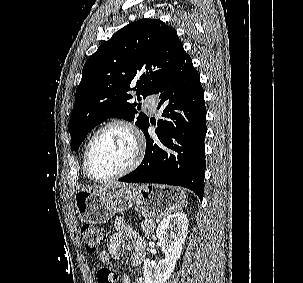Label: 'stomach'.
I'll return each instance as SVG.
<instances>
[{
    "instance_id": "0dacf381",
    "label": "stomach",
    "mask_w": 303,
    "mask_h": 283,
    "mask_svg": "<svg viewBox=\"0 0 303 283\" xmlns=\"http://www.w3.org/2000/svg\"><path fill=\"white\" fill-rule=\"evenodd\" d=\"M74 201L81 222L102 224L115 213H124L134 205L146 218H161L180 210L186 196L181 188L151 184L118 188L103 194L80 190Z\"/></svg>"
}]
</instances>
